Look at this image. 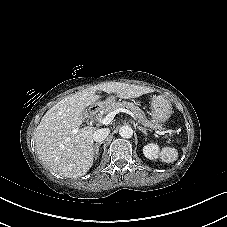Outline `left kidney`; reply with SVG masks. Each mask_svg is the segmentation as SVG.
Instances as JSON below:
<instances>
[{"instance_id": "left-kidney-1", "label": "left kidney", "mask_w": 227, "mask_h": 227, "mask_svg": "<svg viewBox=\"0 0 227 227\" xmlns=\"http://www.w3.org/2000/svg\"><path fill=\"white\" fill-rule=\"evenodd\" d=\"M159 147L155 143H148L143 147V154L150 160H156L158 158Z\"/></svg>"}]
</instances>
